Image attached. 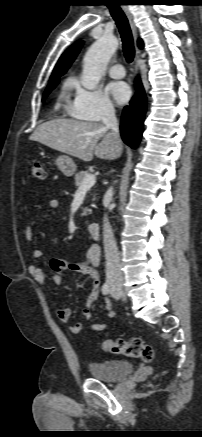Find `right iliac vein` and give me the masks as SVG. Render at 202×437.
I'll list each match as a JSON object with an SVG mask.
<instances>
[{"label":"right iliac vein","mask_w":202,"mask_h":437,"mask_svg":"<svg viewBox=\"0 0 202 437\" xmlns=\"http://www.w3.org/2000/svg\"><path fill=\"white\" fill-rule=\"evenodd\" d=\"M114 290L119 296H124V291L121 287H115Z\"/></svg>","instance_id":"63e3f726"}]
</instances>
